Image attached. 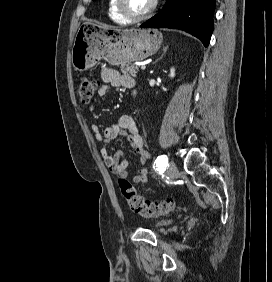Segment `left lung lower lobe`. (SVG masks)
<instances>
[{"label":"left lung lower lobe","instance_id":"0a47b994","mask_svg":"<svg viewBox=\"0 0 272 282\" xmlns=\"http://www.w3.org/2000/svg\"><path fill=\"white\" fill-rule=\"evenodd\" d=\"M215 0H167L164 8L142 28H176L199 38L208 46L213 31Z\"/></svg>","mask_w":272,"mask_h":282}]
</instances>
